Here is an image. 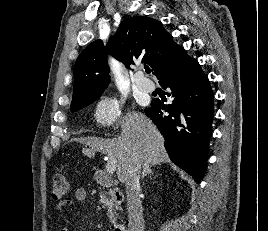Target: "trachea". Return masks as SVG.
Masks as SVG:
<instances>
[{
    "instance_id": "3493384b",
    "label": "trachea",
    "mask_w": 268,
    "mask_h": 231,
    "mask_svg": "<svg viewBox=\"0 0 268 231\" xmlns=\"http://www.w3.org/2000/svg\"><path fill=\"white\" fill-rule=\"evenodd\" d=\"M144 68H145V72H146L147 74H150V72H151L150 68H149L148 66H145Z\"/></svg>"
}]
</instances>
